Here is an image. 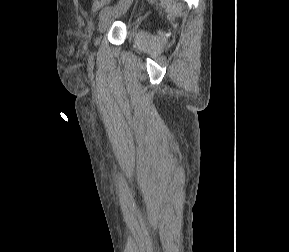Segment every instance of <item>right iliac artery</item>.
<instances>
[{"label":"right iliac artery","instance_id":"1","mask_svg":"<svg viewBox=\"0 0 289 252\" xmlns=\"http://www.w3.org/2000/svg\"><path fill=\"white\" fill-rule=\"evenodd\" d=\"M112 10V7H105L101 10L100 14H99V17L102 18L104 17L109 11Z\"/></svg>","mask_w":289,"mask_h":252}]
</instances>
